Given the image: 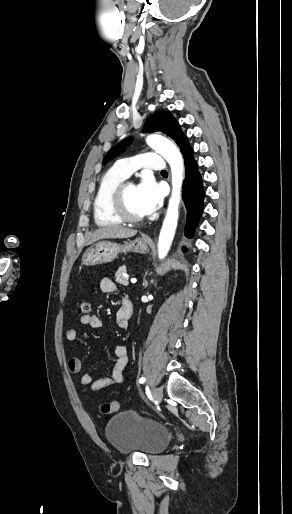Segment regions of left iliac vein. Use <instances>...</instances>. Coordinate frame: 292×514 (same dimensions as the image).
Returning <instances> with one entry per match:
<instances>
[{
    "instance_id": "1",
    "label": "left iliac vein",
    "mask_w": 292,
    "mask_h": 514,
    "mask_svg": "<svg viewBox=\"0 0 292 514\" xmlns=\"http://www.w3.org/2000/svg\"><path fill=\"white\" fill-rule=\"evenodd\" d=\"M152 396H153L154 402L156 404H160V402L162 401V397H163L162 390L158 387L153 388Z\"/></svg>"
}]
</instances>
